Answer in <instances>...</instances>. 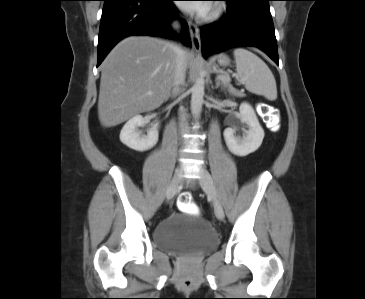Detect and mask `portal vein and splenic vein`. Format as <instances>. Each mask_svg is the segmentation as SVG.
<instances>
[{
    "instance_id": "portal-vein-and-splenic-vein-1",
    "label": "portal vein and splenic vein",
    "mask_w": 365,
    "mask_h": 299,
    "mask_svg": "<svg viewBox=\"0 0 365 299\" xmlns=\"http://www.w3.org/2000/svg\"><path fill=\"white\" fill-rule=\"evenodd\" d=\"M219 78L222 80V81H225V82H228L229 81V77L228 75H222V76H219ZM233 89V88H232ZM149 95H152V92H149L148 93Z\"/></svg>"
}]
</instances>
